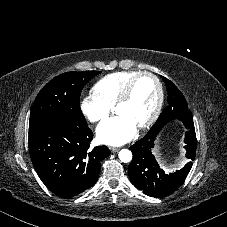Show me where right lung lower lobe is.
<instances>
[{
  "label": "right lung lower lobe",
  "instance_id": "98d812e1",
  "mask_svg": "<svg viewBox=\"0 0 227 227\" xmlns=\"http://www.w3.org/2000/svg\"><path fill=\"white\" fill-rule=\"evenodd\" d=\"M93 133L87 125L49 121L29 131V153L45 186L57 196L71 198L92 187L100 162L110 155L106 146L89 149Z\"/></svg>",
  "mask_w": 227,
  "mask_h": 227
}]
</instances>
